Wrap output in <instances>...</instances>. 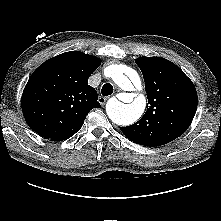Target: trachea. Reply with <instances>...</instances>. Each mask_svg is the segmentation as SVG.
<instances>
[{
    "label": "trachea",
    "instance_id": "3493384b",
    "mask_svg": "<svg viewBox=\"0 0 221 221\" xmlns=\"http://www.w3.org/2000/svg\"><path fill=\"white\" fill-rule=\"evenodd\" d=\"M101 93L103 96L111 95L113 93V86L110 83L104 84Z\"/></svg>",
    "mask_w": 221,
    "mask_h": 221
}]
</instances>
